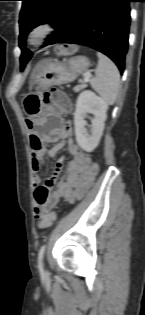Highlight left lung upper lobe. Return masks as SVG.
<instances>
[{"label": "left lung upper lobe", "mask_w": 145, "mask_h": 315, "mask_svg": "<svg viewBox=\"0 0 145 315\" xmlns=\"http://www.w3.org/2000/svg\"><path fill=\"white\" fill-rule=\"evenodd\" d=\"M21 1L23 2V4L19 19V41L26 38L31 29L44 23H49L56 29V32L54 34H51L48 38H46V40L49 41L63 26L75 0ZM30 58V56L21 55V71L24 69Z\"/></svg>", "instance_id": "1"}]
</instances>
